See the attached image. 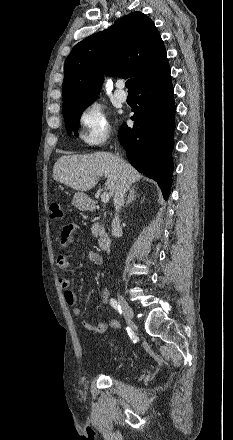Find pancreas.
<instances>
[{
    "label": "pancreas",
    "mask_w": 233,
    "mask_h": 440,
    "mask_svg": "<svg viewBox=\"0 0 233 440\" xmlns=\"http://www.w3.org/2000/svg\"><path fill=\"white\" fill-rule=\"evenodd\" d=\"M105 234V228L104 225L97 222L92 226V235L97 238L100 235H104Z\"/></svg>",
    "instance_id": "1"
}]
</instances>
